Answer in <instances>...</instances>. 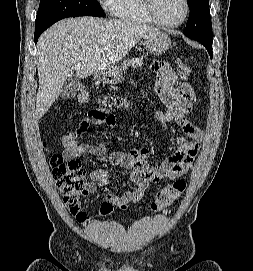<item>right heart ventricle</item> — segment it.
Wrapping results in <instances>:
<instances>
[{"label":"right heart ventricle","instance_id":"right-heart-ventricle-1","mask_svg":"<svg viewBox=\"0 0 253 271\" xmlns=\"http://www.w3.org/2000/svg\"><path fill=\"white\" fill-rule=\"evenodd\" d=\"M113 12L125 21L156 24L147 12L144 0H118Z\"/></svg>","mask_w":253,"mask_h":271}]
</instances>
